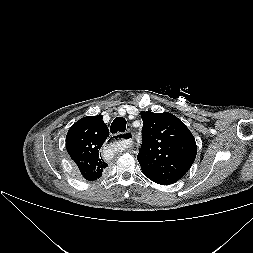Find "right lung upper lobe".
<instances>
[{
	"label": "right lung upper lobe",
	"instance_id": "1",
	"mask_svg": "<svg viewBox=\"0 0 253 253\" xmlns=\"http://www.w3.org/2000/svg\"><path fill=\"white\" fill-rule=\"evenodd\" d=\"M102 115L78 120L66 135V148L71 159L88 181L100 178L108 164L100 156V148L109 137Z\"/></svg>",
	"mask_w": 253,
	"mask_h": 253
}]
</instances>
